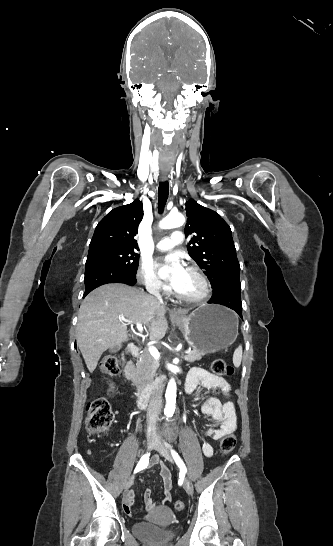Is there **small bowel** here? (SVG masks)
I'll return each instance as SVG.
<instances>
[{
  "mask_svg": "<svg viewBox=\"0 0 333 546\" xmlns=\"http://www.w3.org/2000/svg\"><path fill=\"white\" fill-rule=\"evenodd\" d=\"M198 385H202L206 388H216L220 390L226 398H229L231 395V385L226 379L214 375L202 368H194L189 372L186 380V390L192 392ZM201 411L203 414L211 417L217 424V426L210 427L206 431V437L209 440L217 441L226 434L233 433L237 428V415L234 405L230 400L221 403L217 398H209L203 403ZM202 452L205 457L210 458L213 456L214 450L210 441L205 440L203 442ZM157 464H161V461L158 456H154L151 459V466ZM160 478L165 493L162 504L158 505L154 502L150 489L146 490L144 494L146 508L151 512L158 510L160 506H164L171 499V490L173 487L171 472L163 464H161ZM134 499L135 496L132 491L127 492L124 496L123 509L128 515L132 513Z\"/></svg>",
  "mask_w": 333,
  "mask_h": 546,
  "instance_id": "small-bowel-1",
  "label": "small bowel"
}]
</instances>
